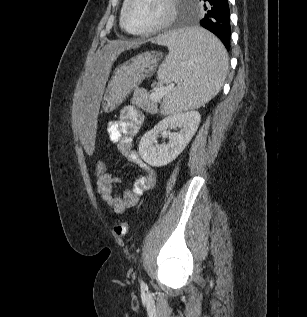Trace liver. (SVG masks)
Wrapping results in <instances>:
<instances>
[{"mask_svg": "<svg viewBox=\"0 0 307 317\" xmlns=\"http://www.w3.org/2000/svg\"><path fill=\"white\" fill-rule=\"evenodd\" d=\"M139 45L140 43L130 41H112L87 66L75 112L78 129L81 130L82 154H95L98 149V135H92V133L97 127L96 116L100 104L103 103L101 96L106 79L111 77L109 70L112 63L122 51L137 48Z\"/></svg>", "mask_w": 307, "mask_h": 317, "instance_id": "1", "label": "liver"}]
</instances>
